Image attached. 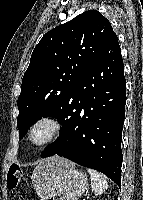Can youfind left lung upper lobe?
I'll return each instance as SVG.
<instances>
[{"instance_id":"5c2ea615","label":"left lung upper lobe","mask_w":143,"mask_h":200,"mask_svg":"<svg viewBox=\"0 0 143 200\" xmlns=\"http://www.w3.org/2000/svg\"><path fill=\"white\" fill-rule=\"evenodd\" d=\"M115 36L111 23L97 10L86 11L43 36L31 55L18 97L20 137L43 116L55 117L66 128L69 97L77 81Z\"/></svg>"}]
</instances>
